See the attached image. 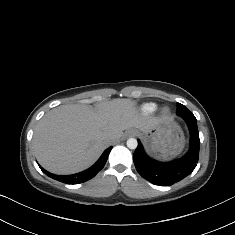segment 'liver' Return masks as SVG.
<instances>
[{
	"label": "liver",
	"mask_w": 235,
	"mask_h": 235,
	"mask_svg": "<svg viewBox=\"0 0 235 235\" xmlns=\"http://www.w3.org/2000/svg\"><path fill=\"white\" fill-rule=\"evenodd\" d=\"M129 99L87 105L61 106L38 123L33 148L39 163L50 172L69 174L90 166L110 144L109 137L136 128L147 133L161 120L139 117Z\"/></svg>",
	"instance_id": "1"
}]
</instances>
